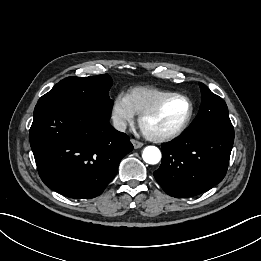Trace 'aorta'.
Returning a JSON list of instances; mask_svg holds the SVG:
<instances>
[{"label":"aorta","mask_w":261,"mask_h":261,"mask_svg":"<svg viewBox=\"0 0 261 261\" xmlns=\"http://www.w3.org/2000/svg\"><path fill=\"white\" fill-rule=\"evenodd\" d=\"M143 160L148 164H157L161 160V152L155 146H147L143 150Z\"/></svg>","instance_id":"762f6f07"}]
</instances>
